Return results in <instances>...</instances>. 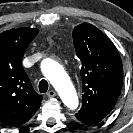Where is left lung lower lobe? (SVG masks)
Wrapping results in <instances>:
<instances>
[{
  "label": "left lung lower lobe",
  "mask_w": 133,
  "mask_h": 133,
  "mask_svg": "<svg viewBox=\"0 0 133 133\" xmlns=\"http://www.w3.org/2000/svg\"><path fill=\"white\" fill-rule=\"evenodd\" d=\"M75 116L80 122L87 124V125H95L98 122H100L99 120L88 118L80 114H76Z\"/></svg>",
  "instance_id": "obj_1"
}]
</instances>
